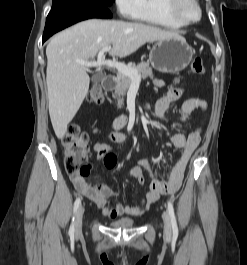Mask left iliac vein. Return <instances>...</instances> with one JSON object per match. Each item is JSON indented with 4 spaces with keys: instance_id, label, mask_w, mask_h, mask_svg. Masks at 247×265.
<instances>
[{
    "instance_id": "4c4485c4",
    "label": "left iliac vein",
    "mask_w": 247,
    "mask_h": 265,
    "mask_svg": "<svg viewBox=\"0 0 247 265\" xmlns=\"http://www.w3.org/2000/svg\"><path fill=\"white\" fill-rule=\"evenodd\" d=\"M163 222H164V236L167 238L171 237L172 229H171V221L170 216L167 211L163 212L162 215Z\"/></svg>"
}]
</instances>
